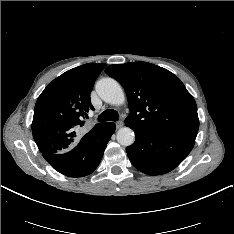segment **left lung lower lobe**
Listing matches in <instances>:
<instances>
[{"label":"left lung lower lobe","mask_w":234,"mask_h":234,"mask_svg":"<svg viewBox=\"0 0 234 234\" xmlns=\"http://www.w3.org/2000/svg\"><path fill=\"white\" fill-rule=\"evenodd\" d=\"M136 141L126 152L133 166L148 175H160L176 168L192 150L197 132L150 130L125 122Z\"/></svg>","instance_id":"left-lung-lower-lobe-1"}]
</instances>
